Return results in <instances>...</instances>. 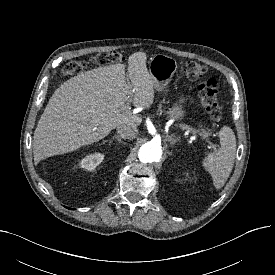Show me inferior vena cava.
Listing matches in <instances>:
<instances>
[{
    "mask_svg": "<svg viewBox=\"0 0 275 275\" xmlns=\"http://www.w3.org/2000/svg\"><path fill=\"white\" fill-rule=\"evenodd\" d=\"M117 134L124 139H133L138 134V129L135 126L121 125L117 127Z\"/></svg>",
    "mask_w": 275,
    "mask_h": 275,
    "instance_id": "1",
    "label": "inferior vena cava"
}]
</instances>
